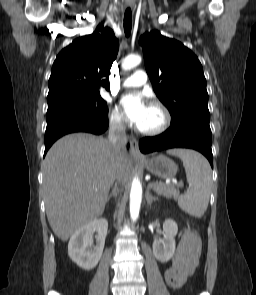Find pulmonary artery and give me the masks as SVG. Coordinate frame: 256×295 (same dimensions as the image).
I'll use <instances>...</instances> for the list:
<instances>
[{
	"label": "pulmonary artery",
	"mask_w": 256,
	"mask_h": 295,
	"mask_svg": "<svg viewBox=\"0 0 256 295\" xmlns=\"http://www.w3.org/2000/svg\"><path fill=\"white\" fill-rule=\"evenodd\" d=\"M147 82V74L144 70L138 69L123 82V87H139Z\"/></svg>",
	"instance_id": "obj_1"
}]
</instances>
